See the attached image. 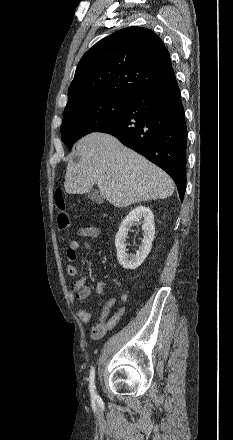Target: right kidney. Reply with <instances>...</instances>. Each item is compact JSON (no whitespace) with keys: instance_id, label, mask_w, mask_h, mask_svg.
Returning <instances> with one entry per match:
<instances>
[{"instance_id":"right-kidney-1","label":"right kidney","mask_w":233,"mask_h":440,"mask_svg":"<svg viewBox=\"0 0 233 440\" xmlns=\"http://www.w3.org/2000/svg\"><path fill=\"white\" fill-rule=\"evenodd\" d=\"M142 224L143 239L139 250L135 255H128L126 253V238L129 229L133 225ZM155 234L154 215L150 208L145 206H138L133 209L121 222L119 230L115 237V246L117 249V258L120 265L125 269L138 268L147 255L149 254Z\"/></svg>"}]
</instances>
